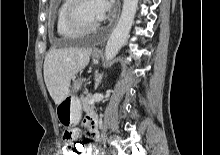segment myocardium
Segmentation results:
<instances>
[{"mask_svg": "<svg viewBox=\"0 0 220 155\" xmlns=\"http://www.w3.org/2000/svg\"><path fill=\"white\" fill-rule=\"evenodd\" d=\"M82 2L83 0H70L65 11V21L70 28L84 34L98 29L101 23L88 24L81 19L79 10Z\"/></svg>", "mask_w": 220, "mask_h": 155, "instance_id": "myocardium-1", "label": "myocardium"}]
</instances>
